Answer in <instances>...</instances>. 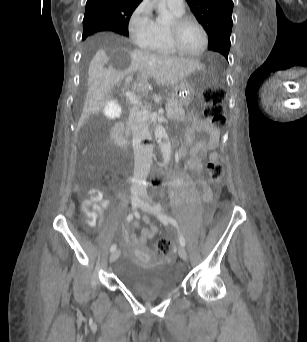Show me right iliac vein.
<instances>
[{"label":"right iliac vein","mask_w":307,"mask_h":342,"mask_svg":"<svg viewBox=\"0 0 307 342\" xmlns=\"http://www.w3.org/2000/svg\"><path fill=\"white\" fill-rule=\"evenodd\" d=\"M141 203H142V199L140 197H138V196L132 197L131 205H132V208L134 210H136ZM119 256H120V250H116V251L112 252V254L110 255V258H109V262L110 263L114 262L115 260L118 259Z\"/></svg>","instance_id":"63e3f726"}]
</instances>
